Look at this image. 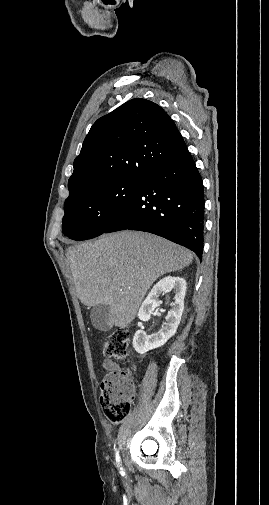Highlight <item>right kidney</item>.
Listing matches in <instances>:
<instances>
[{"instance_id": "right-kidney-1", "label": "right kidney", "mask_w": 269, "mask_h": 505, "mask_svg": "<svg viewBox=\"0 0 269 505\" xmlns=\"http://www.w3.org/2000/svg\"><path fill=\"white\" fill-rule=\"evenodd\" d=\"M169 291L174 292L175 301L165 317L162 328L152 335H147L143 330H138L134 335L133 347L139 354H145L149 350L163 346L176 333L184 310L186 293V281L181 277L167 276L159 280L143 301L138 312V318L142 321H148L155 308L160 304L159 296Z\"/></svg>"}]
</instances>
